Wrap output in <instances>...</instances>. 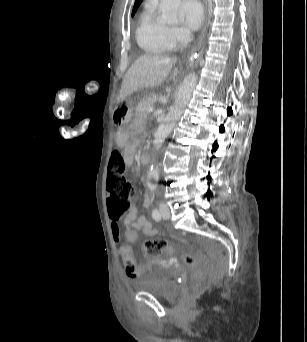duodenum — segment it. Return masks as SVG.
Instances as JSON below:
<instances>
[{"label": "duodenum", "mask_w": 307, "mask_h": 342, "mask_svg": "<svg viewBox=\"0 0 307 342\" xmlns=\"http://www.w3.org/2000/svg\"><path fill=\"white\" fill-rule=\"evenodd\" d=\"M140 161L142 165H145L149 161V158L145 153H143V155L140 157Z\"/></svg>", "instance_id": "1"}]
</instances>
